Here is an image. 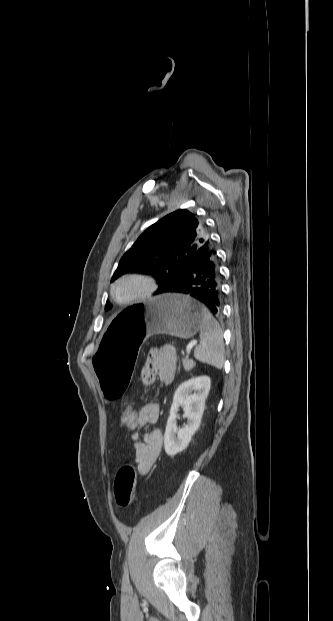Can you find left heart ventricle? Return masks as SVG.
I'll use <instances>...</instances> for the list:
<instances>
[{"instance_id": "1", "label": "left heart ventricle", "mask_w": 333, "mask_h": 621, "mask_svg": "<svg viewBox=\"0 0 333 621\" xmlns=\"http://www.w3.org/2000/svg\"><path fill=\"white\" fill-rule=\"evenodd\" d=\"M143 289V285L140 282L128 280L120 283L116 289V296L120 300L128 299L138 294Z\"/></svg>"}]
</instances>
